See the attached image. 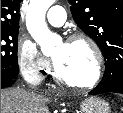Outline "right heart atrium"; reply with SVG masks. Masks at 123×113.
<instances>
[{
  "label": "right heart atrium",
  "instance_id": "right-heart-atrium-1",
  "mask_svg": "<svg viewBox=\"0 0 123 113\" xmlns=\"http://www.w3.org/2000/svg\"><path fill=\"white\" fill-rule=\"evenodd\" d=\"M17 63L22 76L32 85L40 84L51 70L50 61L26 37L18 40Z\"/></svg>",
  "mask_w": 123,
  "mask_h": 113
}]
</instances>
